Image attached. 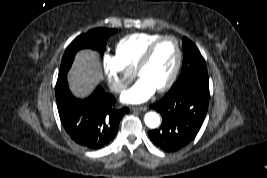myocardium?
<instances>
[{"label": "myocardium", "instance_id": "obj_1", "mask_svg": "<svg viewBox=\"0 0 267 178\" xmlns=\"http://www.w3.org/2000/svg\"><path fill=\"white\" fill-rule=\"evenodd\" d=\"M166 39H171V40H173L175 42L176 50H177V59H176L174 68H173V70L171 72V75L168 78V80L165 82V84H163L161 87L156 89V91L159 92V93L165 92V91H167L168 89H170L172 87V85L176 81V78L178 76L179 70L181 68L182 60H183V51H182V46H181V43H180L179 39L174 35H163L160 38H158L157 40H155L145 50L144 54L140 58L137 66H136V69H135V75L138 76L140 71L142 69H144L148 65V63L150 62V60H151L156 48Z\"/></svg>", "mask_w": 267, "mask_h": 178}]
</instances>
